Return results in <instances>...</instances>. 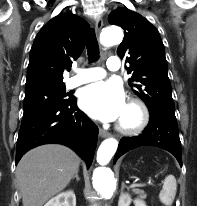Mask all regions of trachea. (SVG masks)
<instances>
[{"instance_id":"obj_1","label":"trachea","mask_w":197,"mask_h":206,"mask_svg":"<svg viewBox=\"0 0 197 206\" xmlns=\"http://www.w3.org/2000/svg\"><path fill=\"white\" fill-rule=\"evenodd\" d=\"M87 53L90 62L99 58V45L94 30H91L87 37Z\"/></svg>"}]
</instances>
